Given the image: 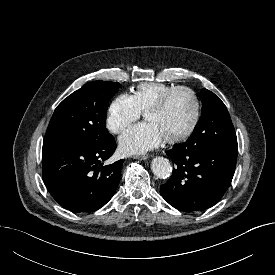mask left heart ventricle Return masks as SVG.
Listing matches in <instances>:
<instances>
[{
	"mask_svg": "<svg viewBox=\"0 0 275 275\" xmlns=\"http://www.w3.org/2000/svg\"><path fill=\"white\" fill-rule=\"evenodd\" d=\"M193 111L191 95L186 91H178L161 110L147 113L145 120L153 123L166 138L185 131L192 120Z\"/></svg>",
	"mask_w": 275,
	"mask_h": 275,
	"instance_id": "b2bd125f",
	"label": "left heart ventricle"
}]
</instances>
